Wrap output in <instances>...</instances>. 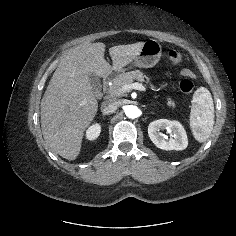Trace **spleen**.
<instances>
[{
	"label": "spleen",
	"mask_w": 236,
	"mask_h": 236,
	"mask_svg": "<svg viewBox=\"0 0 236 236\" xmlns=\"http://www.w3.org/2000/svg\"><path fill=\"white\" fill-rule=\"evenodd\" d=\"M214 125V104L211 93L205 87L198 88L192 99L190 128L194 138L199 142L206 141Z\"/></svg>",
	"instance_id": "spleen-1"
}]
</instances>
